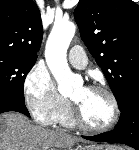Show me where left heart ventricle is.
Wrapping results in <instances>:
<instances>
[{"instance_id": "obj_1", "label": "left heart ventricle", "mask_w": 139, "mask_h": 150, "mask_svg": "<svg viewBox=\"0 0 139 150\" xmlns=\"http://www.w3.org/2000/svg\"><path fill=\"white\" fill-rule=\"evenodd\" d=\"M81 111L84 120L91 126L106 125L112 117V107L108 96L84 86L77 87L70 96Z\"/></svg>"}]
</instances>
